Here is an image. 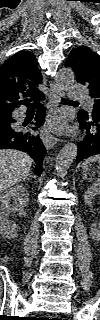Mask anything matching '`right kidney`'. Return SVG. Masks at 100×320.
<instances>
[{
    "label": "right kidney",
    "mask_w": 100,
    "mask_h": 320,
    "mask_svg": "<svg viewBox=\"0 0 100 320\" xmlns=\"http://www.w3.org/2000/svg\"><path fill=\"white\" fill-rule=\"evenodd\" d=\"M11 199L14 202H11ZM29 203V193L24 185H16L0 194V232L7 239L17 237V224L9 220V215H25Z\"/></svg>",
    "instance_id": "1"
}]
</instances>
